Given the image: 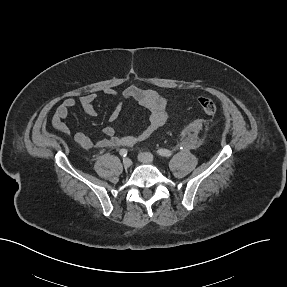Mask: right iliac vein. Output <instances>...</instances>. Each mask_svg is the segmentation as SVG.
I'll use <instances>...</instances> for the list:
<instances>
[{
    "label": "right iliac vein",
    "instance_id": "right-iliac-vein-1",
    "mask_svg": "<svg viewBox=\"0 0 287 287\" xmlns=\"http://www.w3.org/2000/svg\"><path fill=\"white\" fill-rule=\"evenodd\" d=\"M132 165V161L130 158H124L123 159V166L125 168H129Z\"/></svg>",
    "mask_w": 287,
    "mask_h": 287
}]
</instances>
